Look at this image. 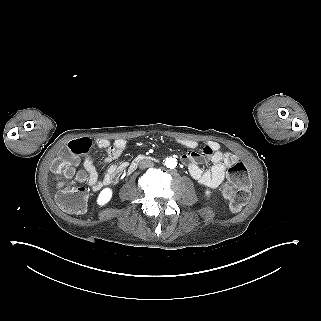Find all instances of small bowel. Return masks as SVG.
<instances>
[{"instance_id": "1", "label": "small bowel", "mask_w": 321, "mask_h": 321, "mask_svg": "<svg viewBox=\"0 0 321 321\" xmlns=\"http://www.w3.org/2000/svg\"><path fill=\"white\" fill-rule=\"evenodd\" d=\"M180 145L190 149V151L181 155V160L188 166L189 174L201 185L207 187H217L224 178L225 171L232 164L237 162V157L229 152H223L220 145L214 141L206 142L200 151H195L198 143L191 139H176ZM96 146L104 149L107 153L104 160L105 171L99 178L97 169L94 165L92 155H87L84 159V168L88 174L87 182L94 191H99L104 186L116 182L127 170L126 162L112 163L113 160L120 157L128 149V143L124 139H116L110 142L105 138L94 140ZM208 160L211 167L202 169L199 161Z\"/></svg>"}]
</instances>
